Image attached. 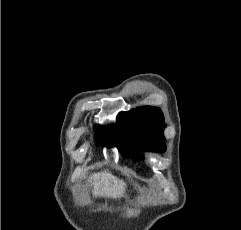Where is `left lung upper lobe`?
<instances>
[{
    "mask_svg": "<svg viewBox=\"0 0 241 230\" xmlns=\"http://www.w3.org/2000/svg\"><path fill=\"white\" fill-rule=\"evenodd\" d=\"M117 124L101 127L96 135L98 145L117 146L124 158H141L140 151L164 152L166 149L163 130L166 127L160 108L143 106L122 112Z\"/></svg>",
    "mask_w": 241,
    "mask_h": 230,
    "instance_id": "1",
    "label": "left lung upper lobe"
}]
</instances>
